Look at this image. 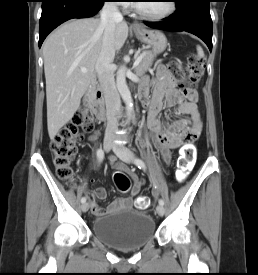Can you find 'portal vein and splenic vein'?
Segmentation results:
<instances>
[{
	"instance_id": "18ae733b",
	"label": "portal vein and splenic vein",
	"mask_w": 258,
	"mask_h": 275,
	"mask_svg": "<svg viewBox=\"0 0 258 275\" xmlns=\"http://www.w3.org/2000/svg\"><path fill=\"white\" fill-rule=\"evenodd\" d=\"M142 57H143V55L139 56V57L135 60V62H134V64H133V67H134V68L137 67V66L139 65V63H140L141 60H142ZM81 71H82V72H86L87 70H86L85 68H81Z\"/></svg>"
}]
</instances>
